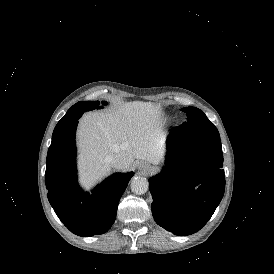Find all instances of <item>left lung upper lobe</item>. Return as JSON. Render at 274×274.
I'll list each match as a JSON object with an SVG mask.
<instances>
[{
    "label": "left lung upper lobe",
    "mask_w": 274,
    "mask_h": 274,
    "mask_svg": "<svg viewBox=\"0 0 274 274\" xmlns=\"http://www.w3.org/2000/svg\"><path fill=\"white\" fill-rule=\"evenodd\" d=\"M181 110L187 114V122L180 125L184 130L219 133L215 125L208 120L206 115L200 109L195 107H185Z\"/></svg>",
    "instance_id": "5c2ea615"
}]
</instances>
